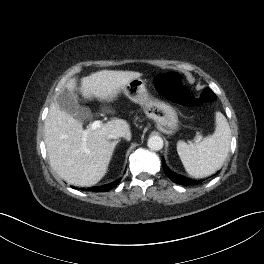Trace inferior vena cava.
<instances>
[{
	"label": "inferior vena cava",
	"mask_w": 264,
	"mask_h": 264,
	"mask_svg": "<svg viewBox=\"0 0 264 264\" xmlns=\"http://www.w3.org/2000/svg\"><path fill=\"white\" fill-rule=\"evenodd\" d=\"M119 137H124V134L120 132H112L107 135V139H117Z\"/></svg>",
	"instance_id": "1"
}]
</instances>
